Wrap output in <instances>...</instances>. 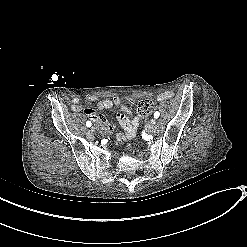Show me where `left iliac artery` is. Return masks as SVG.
Returning a JSON list of instances; mask_svg holds the SVG:
<instances>
[{"label":"left iliac artery","mask_w":247,"mask_h":247,"mask_svg":"<svg viewBox=\"0 0 247 247\" xmlns=\"http://www.w3.org/2000/svg\"><path fill=\"white\" fill-rule=\"evenodd\" d=\"M159 115H160V113H159L158 111H156V112L154 113V118H158Z\"/></svg>","instance_id":"1"}]
</instances>
